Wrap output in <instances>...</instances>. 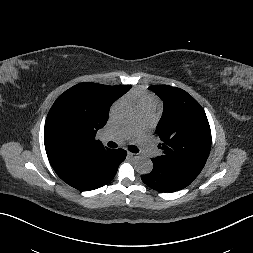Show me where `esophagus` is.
Listing matches in <instances>:
<instances>
[{"label":"esophagus","mask_w":253,"mask_h":253,"mask_svg":"<svg viewBox=\"0 0 253 253\" xmlns=\"http://www.w3.org/2000/svg\"><path fill=\"white\" fill-rule=\"evenodd\" d=\"M128 156L131 157L132 159H138L140 157L139 154L131 152H128Z\"/></svg>","instance_id":"obj_1"}]
</instances>
